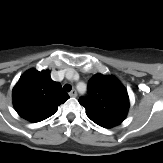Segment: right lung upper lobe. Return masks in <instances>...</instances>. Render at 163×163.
<instances>
[{"label":"right lung upper lobe","mask_w":163,"mask_h":163,"mask_svg":"<svg viewBox=\"0 0 163 163\" xmlns=\"http://www.w3.org/2000/svg\"><path fill=\"white\" fill-rule=\"evenodd\" d=\"M13 105L17 113L30 122H40L56 113L58 106L69 99L61 85L50 77L49 70L26 71L15 85Z\"/></svg>","instance_id":"obj_1"}]
</instances>
